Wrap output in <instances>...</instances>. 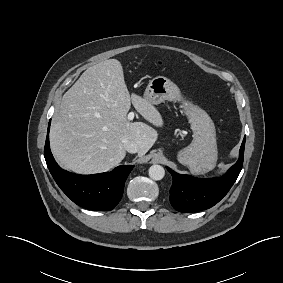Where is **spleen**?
<instances>
[{
  "mask_svg": "<svg viewBox=\"0 0 283 283\" xmlns=\"http://www.w3.org/2000/svg\"><path fill=\"white\" fill-rule=\"evenodd\" d=\"M219 166L222 167L223 164H220ZM214 167H215V164L210 165L209 168L205 172L212 170Z\"/></svg>",
  "mask_w": 283,
  "mask_h": 283,
  "instance_id": "1",
  "label": "spleen"
}]
</instances>
